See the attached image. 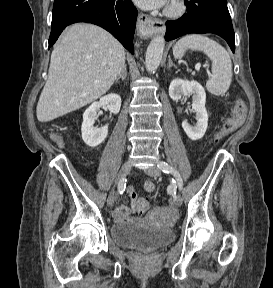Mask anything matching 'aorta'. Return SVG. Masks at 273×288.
Masks as SVG:
<instances>
[{"label": "aorta", "mask_w": 273, "mask_h": 288, "mask_svg": "<svg viewBox=\"0 0 273 288\" xmlns=\"http://www.w3.org/2000/svg\"><path fill=\"white\" fill-rule=\"evenodd\" d=\"M164 47L165 40L162 36H156L150 42L145 56V65L149 73L154 72L159 67Z\"/></svg>", "instance_id": "762f6f07"}]
</instances>
